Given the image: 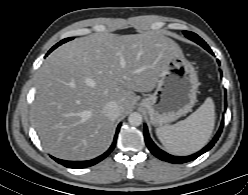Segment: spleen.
<instances>
[{
	"mask_svg": "<svg viewBox=\"0 0 248 195\" xmlns=\"http://www.w3.org/2000/svg\"><path fill=\"white\" fill-rule=\"evenodd\" d=\"M215 126V105L209 97L186 119L170 126L156 128L165 149L174 155H190L203 148Z\"/></svg>",
	"mask_w": 248,
	"mask_h": 195,
	"instance_id": "3e777b00",
	"label": "spleen"
}]
</instances>
